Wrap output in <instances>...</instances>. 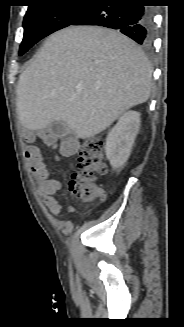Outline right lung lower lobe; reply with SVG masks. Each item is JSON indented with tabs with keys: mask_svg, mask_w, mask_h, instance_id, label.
Returning a JSON list of instances; mask_svg holds the SVG:
<instances>
[{
	"mask_svg": "<svg viewBox=\"0 0 184 327\" xmlns=\"http://www.w3.org/2000/svg\"><path fill=\"white\" fill-rule=\"evenodd\" d=\"M139 3L142 0H95L72 25L117 29L139 44L150 45L153 37L152 11Z\"/></svg>",
	"mask_w": 184,
	"mask_h": 327,
	"instance_id": "1",
	"label": "right lung lower lobe"
}]
</instances>
